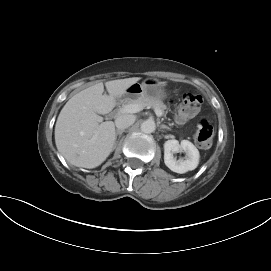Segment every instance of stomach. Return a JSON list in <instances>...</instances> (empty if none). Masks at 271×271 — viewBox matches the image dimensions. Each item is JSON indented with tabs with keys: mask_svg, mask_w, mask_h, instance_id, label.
<instances>
[{
	"mask_svg": "<svg viewBox=\"0 0 271 271\" xmlns=\"http://www.w3.org/2000/svg\"><path fill=\"white\" fill-rule=\"evenodd\" d=\"M164 82L156 78H147L142 83H134L123 95L125 99H137L145 96L162 100L166 97Z\"/></svg>",
	"mask_w": 271,
	"mask_h": 271,
	"instance_id": "0dacf381",
	"label": "stomach"
}]
</instances>
